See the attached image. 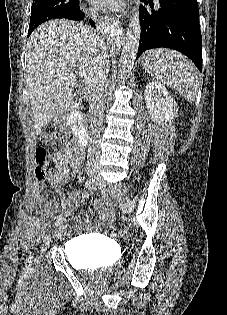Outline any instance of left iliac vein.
I'll list each match as a JSON object with an SVG mask.
<instances>
[{
    "instance_id": "1",
    "label": "left iliac vein",
    "mask_w": 227,
    "mask_h": 315,
    "mask_svg": "<svg viewBox=\"0 0 227 315\" xmlns=\"http://www.w3.org/2000/svg\"><path fill=\"white\" fill-rule=\"evenodd\" d=\"M97 185L105 187V182L101 177H98ZM108 191L110 195L117 200L125 213L130 214L133 210V202L130 197L127 195V189L123 187L121 184L116 186L109 185Z\"/></svg>"
}]
</instances>
